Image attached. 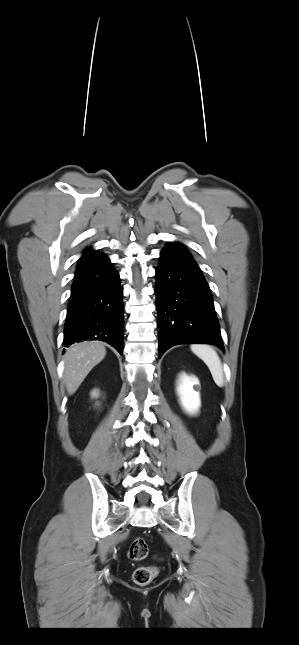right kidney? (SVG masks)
<instances>
[{
    "label": "right kidney",
    "instance_id": "obj_1",
    "mask_svg": "<svg viewBox=\"0 0 299 645\" xmlns=\"http://www.w3.org/2000/svg\"><path fill=\"white\" fill-rule=\"evenodd\" d=\"M94 395H96V392H95V391L93 392V396H94Z\"/></svg>",
    "mask_w": 299,
    "mask_h": 645
}]
</instances>
